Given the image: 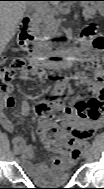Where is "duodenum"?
<instances>
[{"mask_svg":"<svg viewBox=\"0 0 104 189\" xmlns=\"http://www.w3.org/2000/svg\"><path fill=\"white\" fill-rule=\"evenodd\" d=\"M35 20L32 18H25L23 20V27L18 37L19 47L31 57V66L36 71L40 72L42 62L34 55L35 52V34L33 32Z\"/></svg>","mask_w":104,"mask_h":189,"instance_id":"410a0bca","label":"duodenum"}]
</instances>
